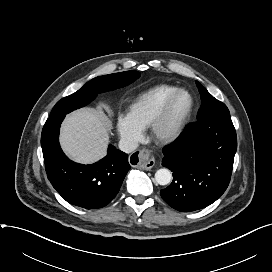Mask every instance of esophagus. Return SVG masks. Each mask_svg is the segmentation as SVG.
<instances>
[{
  "label": "esophagus",
  "mask_w": 272,
  "mask_h": 272,
  "mask_svg": "<svg viewBox=\"0 0 272 272\" xmlns=\"http://www.w3.org/2000/svg\"><path fill=\"white\" fill-rule=\"evenodd\" d=\"M131 163L143 170H150L155 165V158L148 149H142L139 152L134 153L131 158Z\"/></svg>",
  "instance_id": "34e87169"
}]
</instances>
